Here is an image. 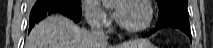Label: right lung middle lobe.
Masks as SVG:
<instances>
[{
  "mask_svg": "<svg viewBox=\"0 0 213 48\" xmlns=\"http://www.w3.org/2000/svg\"><path fill=\"white\" fill-rule=\"evenodd\" d=\"M70 1L74 2V3L78 4V5H81V0H70Z\"/></svg>",
  "mask_w": 213,
  "mask_h": 48,
  "instance_id": "obj_1",
  "label": "right lung middle lobe"
}]
</instances>
